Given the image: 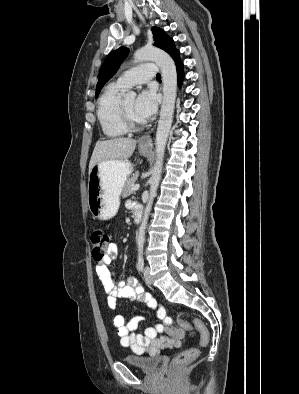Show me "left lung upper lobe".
<instances>
[{
    "label": "left lung upper lobe",
    "mask_w": 299,
    "mask_h": 394,
    "mask_svg": "<svg viewBox=\"0 0 299 394\" xmlns=\"http://www.w3.org/2000/svg\"><path fill=\"white\" fill-rule=\"evenodd\" d=\"M154 45L166 51L170 56H173L177 50L174 41L160 28L153 27ZM129 50L125 47H120L112 51L101 66L99 80L96 86L97 97L104 84L116 73L123 60L127 57Z\"/></svg>",
    "instance_id": "obj_1"
}]
</instances>
